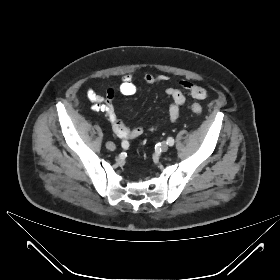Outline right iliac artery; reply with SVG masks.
Here are the masks:
<instances>
[{"label":"right iliac artery","mask_w":280,"mask_h":280,"mask_svg":"<svg viewBox=\"0 0 280 280\" xmlns=\"http://www.w3.org/2000/svg\"><path fill=\"white\" fill-rule=\"evenodd\" d=\"M122 147H124V148L127 147V142L126 141L122 142Z\"/></svg>","instance_id":"right-iliac-artery-1"}]
</instances>
